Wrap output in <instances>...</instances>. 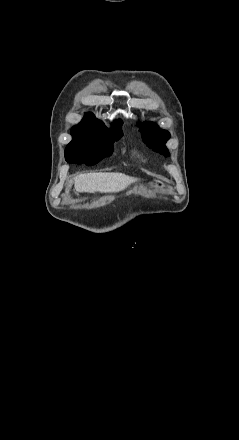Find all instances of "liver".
<instances>
[{
    "label": "liver",
    "mask_w": 239,
    "mask_h": 440,
    "mask_svg": "<svg viewBox=\"0 0 239 440\" xmlns=\"http://www.w3.org/2000/svg\"><path fill=\"white\" fill-rule=\"evenodd\" d=\"M137 178H130L125 174H109V172H98V174H79L74 180L76 192H122L127 186L136 182ZM70 182L67 188H70Z\"/></svg>",
    "instance_id": "obj_1"
}]
</instances>
